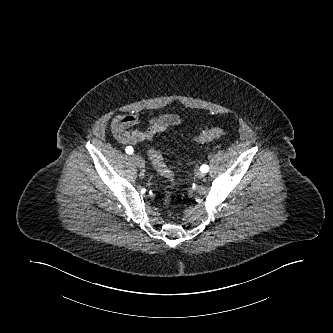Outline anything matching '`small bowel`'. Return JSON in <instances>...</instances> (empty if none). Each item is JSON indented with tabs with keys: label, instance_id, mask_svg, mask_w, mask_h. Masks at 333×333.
<instances>
[{
	"label": "small bowel",
	"instance_id": "small-bowel-1",
	"mask_svg": "<svg viewBox=\"0 0 333 333\" xmlns=\"http://www.w3.org/2000/svg\"><path fill=\"white\" fill-rule=\"evenodd\" d=\"M139 121L137 113L117 115L111 124L114 139L123 145H135L139 142L153 140L157 133L181 123L180 117L175 114H162L149 118L146 130L132 129Z\"/></svg>",
	"mask_w": 333,
	"mask_h": 333
}]
</instances>
